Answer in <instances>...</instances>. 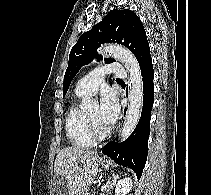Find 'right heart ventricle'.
<instances>
[{
	"mask_svg": "<svg viewBox=\"0 0 211 195\" xmlns=\"http://www.w3.org/2000/svg\"><path fill=\"white\" fill-rule=\"evenodd\" d=\"M76 101L68 109L65 129L69 141L78 148H90L94 140L90 136L86 123V114L79 108L78 100L85 97L75 92Z\"/></svg>",
	"mask_w": 211,
	"mask_h": 195,
	"instance_id": "1",
	"label": "right heart ventricle"
}]
</instances>
